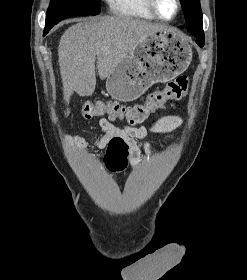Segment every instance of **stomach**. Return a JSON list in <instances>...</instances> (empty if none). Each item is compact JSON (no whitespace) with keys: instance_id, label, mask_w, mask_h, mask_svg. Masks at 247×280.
Returning <instances> with one entry per match:
<instances>
[{"instance_id":"1","label":"stomach","mask_w":247,"mask_h":280,"mask_svg":"<svg viewBox=\"0 0 247 280\" xmlns=\"http://www.w3.org/2000/svg\"><path fill=\"white\" fill-rule=\"evenodd\" d=\"M191 60V46L182 35L171 30L154 33L118 63L107 78L106 89L120 102L136 100L153 84L183 73Z\"/></svg>"}]
</instances>
